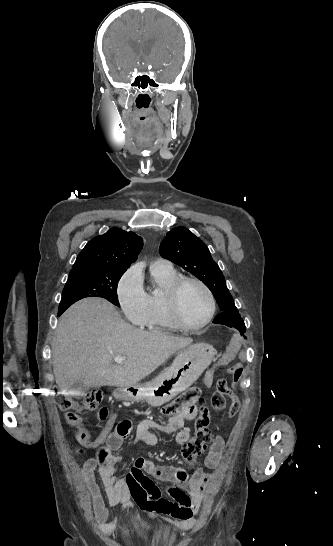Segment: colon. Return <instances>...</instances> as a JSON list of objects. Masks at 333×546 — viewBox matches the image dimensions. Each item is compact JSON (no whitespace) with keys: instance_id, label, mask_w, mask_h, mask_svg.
I'll list each match as a JSON object with an SVG mask.
<instances>
[{"instance_id":"1","label":"colon","mask_w":333,"mask_h":546,"mask_svg":"<svg viewBox=\"0 0 333 546\" xmlns=\"http://www.w3.org/2000/svg\"><path fill=\"white\" fill-rule=\"evenodd\" d=\"M235 364L236 365L228 368V373L233 375L230 378V383L233 386L238 387L241 381L245 378L246 368L243 365H239V362H236ZM195 396V392H189L181 399L179 405H187L192 403ZM226 397H230L234 402L236 401V397L229 386L228 381L224 378L218 379L216 383V391L211 396L212 408L216 411L223 410L227 404ZM57 400L59 408L63 411H67L65 415L67 424L76 428L78 433H81L86 430L83 427L82 418L78 414V411H80L82 408L89 410L97 408L101 403L102 394L100 392H90L85 395L81 403L66 395L58 396ZM194 407L197 412L195 420V433L191 439L184 444L181 450L182 457L189 464L196 463L198 456L208 448V444L212 440V435L209 429L211 417L210 410L201 399L196 401V405ZM107 415V408L102 407L98 413V418L100 420H105ZM122 430L124 431L125 428H122ZM108 454L109 448L107 446L103 445L99 447L97 457H105Z\"/></svg>"}]
</instances>
